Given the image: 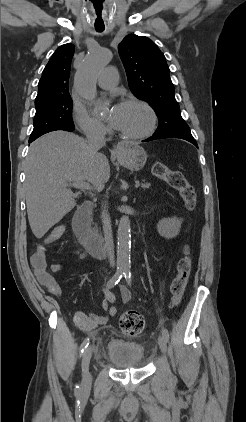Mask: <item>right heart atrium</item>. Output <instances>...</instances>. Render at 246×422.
Segmentation results:
<instances>
[{"label":"right heart atrium","mask_w":246,"mask_h":422,"mask_svg":"<svg viewBox=\"0 0 246 422\" xmlns=\"http://www.w3.org/2000/svg\"><path fill=\"white\" fill-rule=\"evenodd\" d=\"M73 117L78 128L87 137H103L108 131L104 124L93 118L88 111L81 106L76 105L74 107Z\"/></svg>","instance_id":"d8ad5b80"}]
</instances>
